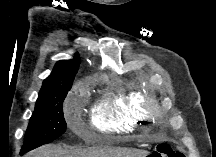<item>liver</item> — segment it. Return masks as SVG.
<instances>
[{
	"label": "liver",
	"instance_id": "liver-1",
	"mask_svg": "<svg viewBox=\"0 0 216 157\" xmlns=\"http://www.w3.org/2000/svg\"><path fill=\"white\" fill-rule=\"evenodd\" d=\"M147 151L126 148L95 147L90 149H63L45 145L27 154V157H146Z\"/></svg>",
	"mask_w": 216,
	"mask_h": 157
}]
</instances>
